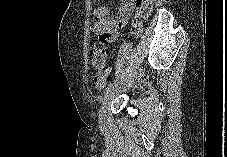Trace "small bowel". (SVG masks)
<instances>
[{"instance_id": "1", "label": "small bowel", "mask_w": 227, "mask_h": 157, "mask_svg": "<svg viewBox=\"0 0 227 157\" xmlns=\"http://www.w3.org/2000/svg\"><path fill=\"white\" fill-rule=\"evenodd\" d=\"M135 0H120V7L115 17L110 15L107 6H98L93 11L96 22L93 32L105 43L115 42L118 38V30L123 28L133 12Z\"/></svg>"}]
</instances>
